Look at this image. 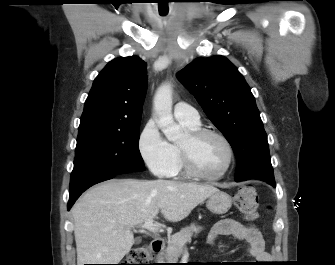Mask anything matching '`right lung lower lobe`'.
Here are the masks:
<instances>
[{"instance_id":"obj_1","label":"right lung lower lobe","mask_w":335,"mask_h":265,"mask_svg":"<svg viewBox=\"0 0 335 265\" xmlns=\"http://www.w3.org/2000/svg\"><path fill=\"white\" fill-rule=\"evenodd\" d=\"M116 174H112V173H103V174H97L91 177H88L80 182H78L77 184H75L74 186L70 187V192H69V202H68V206L67 209L70 210V208L72 207V205L75 203V201L79 198V196L89 187H91L92 185L111 179L115 176Z\"/></svg>"}]
</instances>
